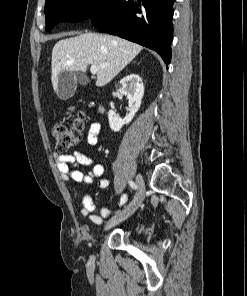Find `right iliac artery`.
I'll return each mask as SVG.
<instances>
[{"label": "right iliac artery", "instance_id": "82829eb1", "mask_svg": "<svg viewBox=\"0 0 247 296\" xmlns=\"http://www.w3.org/2000/svg\"><path fill=\"white\" fill-rule=\"evenodd\" d=\"M129 185H130V187H131L132 189H134V190H136V189L138 188L137 185H136V183L133 182V181H129Z\"/></svg>", "mask_w": 247, "mask_h": 296}]
</instances>
